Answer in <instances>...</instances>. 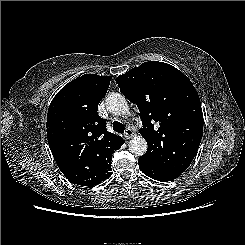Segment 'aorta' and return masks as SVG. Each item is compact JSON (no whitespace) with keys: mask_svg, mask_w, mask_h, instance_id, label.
Returning a JSON list of instances; mask_svg holds the SVG:
<instances>
[{"mask_svg":"<svg viewBox=\"0 0 245 245\" xmlns=\"http://www.w3.org/2000/svg\"><path fill=\"white\" fill-rule=\"evenodd\" d=\"M106 108L113 115H125L129 111L126 98L116 92H112L106 98ZM129 151L135 156H142L147 151V142L142 136L133 137L128 144Z\"/></svg>","mask_w":245,"mask_h":245,"instance_id":"762f6f07","label":"aorta"}]
</instances>
